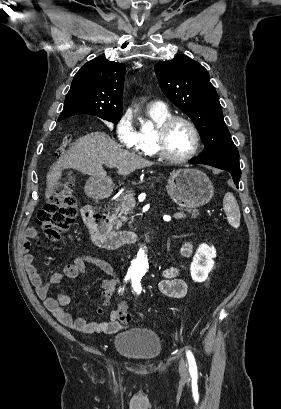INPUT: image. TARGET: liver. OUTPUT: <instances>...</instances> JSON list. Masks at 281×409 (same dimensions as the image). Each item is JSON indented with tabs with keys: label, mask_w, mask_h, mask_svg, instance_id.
Wrapping results in <instances>:
<instances>
[{
	"label": "liver",
	"mask_w": 281,
	"mask_h": 409,
	"mask_svg": "<svg viewBox=\"0 0 281 409\" xmlns=\"http://www.w3.org/2000/svg\"><path fill=\"white\" fill-rule=\"evenodd\" d=\"M102 164L116 166L118 174L126 176L136 168L151 166L154 162L129 150H122L106 132H91L77 138L68 154H63L52 164L46 176V198L52 194L57 180L61 178L63 168H76L84 174H90L92 178L108 180Z\"/></svg>",
	"instance_id": "obj_1"
}]
</instances>
